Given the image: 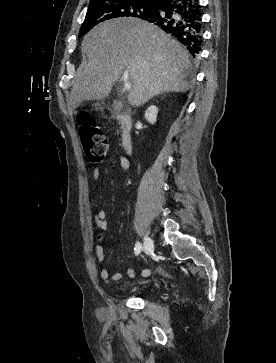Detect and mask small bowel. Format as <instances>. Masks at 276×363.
Instances as JSON below:
<instances>
[{"label":"small bowel","instance_id":"1","mask_svg":"<svg viewBox=\"0 0 276 363\" xmlns=\"http://www.w3.org/2000/svg\"><path fill=\"white\" fill-rule=\"evenodd\" d=\"M122 163H123L124 166L128 167V161L126 159L123 160ZM92 174H93L94 179L98 180L99 177H100L99 168H94L93 171H92ZM106 216H107V214H106L105 210H103V209L98 210L94 214L95 223L102 230L107 228ZM96 255H97V259H98L99 262H104L105 254H104L103 246L98 245L96 247ZM150 273H151V269H145V270L142 271L141 274H142L143 277H147V276L150 275ZM124 275H126L129 278H134L135 277V271L132 268H127L125 270L124 274L120 273V272L111 274L108 268H102L100 270V277L103 280L111 279L113 281H120V280H122L124 278Z\"/></svg>","mask_w":276,"mask_h":363}]
</instances>
